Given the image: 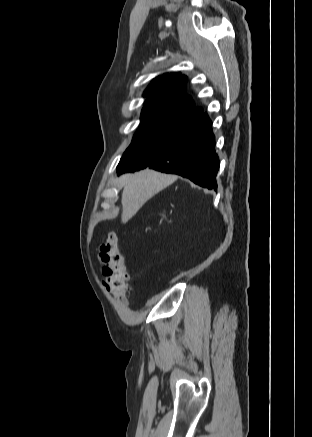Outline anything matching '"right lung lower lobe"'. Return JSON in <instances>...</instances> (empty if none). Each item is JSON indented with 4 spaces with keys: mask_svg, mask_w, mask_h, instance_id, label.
<instances>
[{
    "mask_svg": "<svg viewBox=\"0 0 312 437\" xmlns=\"http://www.w3.org/2000/svg\"><path fill=\"white\" fill-rule=\"evenodd\" d=\"M214 147L212 122L207 113H203L174 139L155 148L124 155L117 171L120 174L149 167L181 175L201 187L216 190L219 159Z\"/></svg>",
    "mask_w": 312,
    "mask_h": 437,
    "instance_id": "98d812e1",
    "label": "right lung lower lobe"
}]
</instances>
